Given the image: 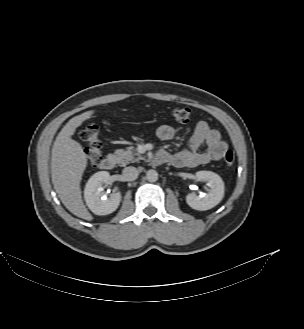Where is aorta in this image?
Here are the masks:
<instances>
[{"label": "aorta", "instance_id": "obj_1", "mask_svg": "<svg viewBox=\"0 0 304 329\" xmlns=\"http://www.w3.org/2000/svg\"><path fill=\"white\" fill-rule=\"evenodd\" d=\"M146 178L149 182H156L158 180V173L156 170L150 169L146 173Z\"/></svg>", "mask_w": 304, "mask_h": 329}]
</instances>
